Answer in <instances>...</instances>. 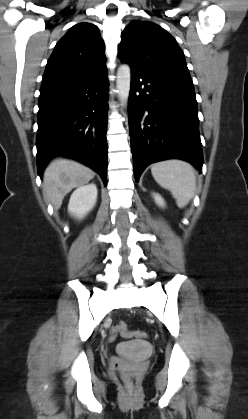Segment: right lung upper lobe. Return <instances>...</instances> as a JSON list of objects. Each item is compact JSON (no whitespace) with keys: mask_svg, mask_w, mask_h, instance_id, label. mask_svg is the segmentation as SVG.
Instances as JSON below:
<instances>
[{"mask_svg":"<svg viewBox=\"0 0 248 419\" xmlns=\"http://www.w3.org/2000/svg\"><path fill=\"white\" fill-rule=\"evenodd\" d=\"M105 62L98 27L86 22L76 24L56 44L41 87L89 78L106 69Z\"/></svg>","mask_w":248,"mask_h":419,"instance_id":"obj_1","label":"right lung upper lobe"}]
</instances>
